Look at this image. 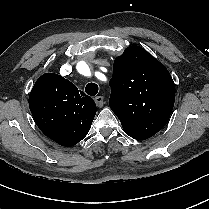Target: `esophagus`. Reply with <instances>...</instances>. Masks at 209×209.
Returning a JSON list of instances; mask_svg holds the SVG:
<instances>
[{
	"label": "esophagus",
	"mask_w": 209,
	"mask_h": 209,
	"mask_svg": "<svg viewBox=\"0 0 209 209\" xmlns=\"http://www.w3.org/2000/svg\"><path fill=\"white\" fill-rule=\"evenodd\" d=\"M95 103L99 108H101L105 103L104 97L103 96L95 97Z\"/></svg>",
	"instance_id": "1"
}]
</instances>
